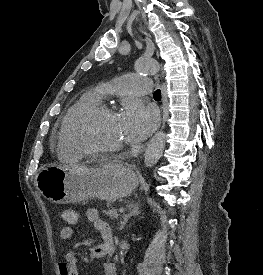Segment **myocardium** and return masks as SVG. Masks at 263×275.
I'll list each match as a JSON object with an SVG mask.
<instances>
[{"label": "myocardium", "mask_w": 263, "mask_h": 275, "mask_svg": "<svg viewBox=\"0 0 263 275\" xmlns=\"http://www.w3.org/2000/svg\"><path fill=\"white\" fill-rule=\"evenodd\" d=\"M115 115V111L110 106H107L105 104H97L84 112H82L74 121L72 124L70 131L66 135V139L70 143V145L82 156H107V155H115L120 153L124 146H116L112 148H105V149H94V148H87L83 145H81L77 139L76 134L80 127L85 124L86 122L90 121L91 119H94L100 115Z\"/></svg>", "instance_id": "1"}]
</instances>
